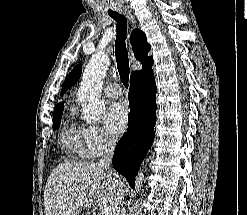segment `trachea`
Masks as SVG:
<instances>
[{
    "instance_id": "3493384b",
    "label": "trachea",
    "mask_w": 247,
    "mask_h": 215,
    "mask_svg": "<svg viewBox=\"0 0 247 215\" xmlns=\"http://www.w3.org/2000/svg\"><path fill=\"white\" fill-rule=\"evenodd\" d=\"M109 15L117 22L116 24V40H115V55L117 68L121 82L128 88L129 82V58L125 40L127 38V20L123 15L116 12Z\"/></svg>"
}]
</instances>
